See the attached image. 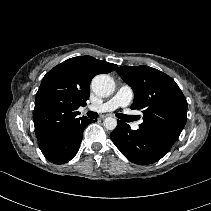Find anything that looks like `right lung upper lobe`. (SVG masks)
Returning a JSON list of instances; mask_svg holds the SVG:
<instances>
[{
  "label": "right lung upper lobe",
  "instance_id": "obj_1",
  "mask_svg": "<svg viewBox=\"0 0 211 211\" xmlns=\"http://www.w3.org/2000/svg\"><path fill=\"white\" fill-rule=\"evenodd\" d=\"M116 67L91 56H78L51 69L42 79L35 99L33 118L38 144L85 119L78 117L77 109L89 99L92 78Z\"/></svg>",
  "mask_w": 211,
  "mask_h": 211
}]
</instances>
